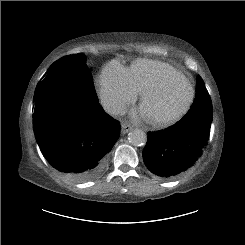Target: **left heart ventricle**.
<instances>
[{"mask_svg": "<svg viewBox=\"0 0 245 245\" xmlns=\"http://www.w3.org/2000/svg\"><path fill=\"white\" fill-rule=\"evenodd\" d=\"M190 96L186 80L175 76L158 94L151 96L142 106L146 117H165L180 110Z\"/></svg>", "mask_w": 245, "mask_h": 245, "instance_id": "obj_1", "label": "left heart ventricle"}]
</instances>
